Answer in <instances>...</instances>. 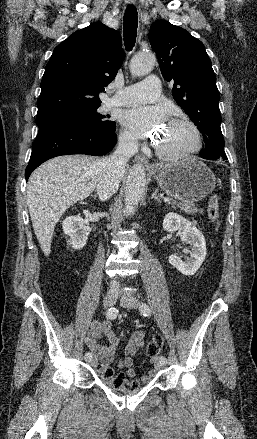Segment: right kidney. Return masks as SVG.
I'll return each instance as SVG.
<instances>
[{"instance_id":"right-kidney-1","label":"right kidney","mask_w":257,"mask_h":439,"mask_svg":"<svg viewBox=\"0 0 257 439\" xmlns=\"http://www.w3.org/2000/svg\"><path fill=\"white\" fill-rule=\"evenodd\" d=\"M63 231L70 237V244L74 249H81L86 245L91 232L81 216L66 217L62 223Z\"/></svg>"}]
</instances>
